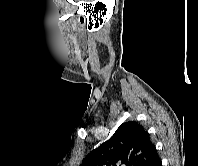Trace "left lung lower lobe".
<instances>
[{"mask_svg":"<svg viewBox=\"0 0 198 166\" xmlns=\"http://www.w3.org/2000/svg\"><path fill=\"white\" fill-rule=\"evenodd\" d=\"M149 166H162V162L158 154L154 156Z\"/></svg>","mask_w":198,"mask_h":166,"instance_id":"0a47b994","label":"left lung lower lobe"}]
</instances>
